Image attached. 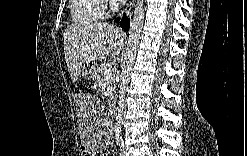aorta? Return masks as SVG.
<instances>
[{"mask_svg":"<svg viewBox=\"0 0 247 156\" xmlns=\"http://www.w3.org/2000/svg\"><path fill=\"white\" fill-rule=\"evenodd\" d=\"M144 19V1L138 0L135 5L134 16L130 26L128 49L124 58L121 73V81L118 91L117 121L121 123L124 112V101L127 86L129 83V73L136 58V49L142 33Z\"/></svg>","mask_w":247,"mask_h":156,"instance_id":"obj_1","label":"aorta"}]
</instances>
